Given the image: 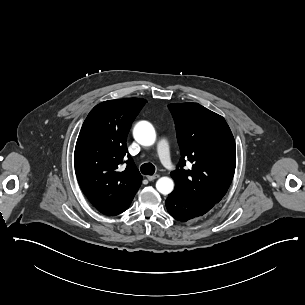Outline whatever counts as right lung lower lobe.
I'll return each mask as SVG.
<instances>
[{"mask_svg": "<svg viewBox=\"0 0 305 305\" xmlns=\"http://www.w3.org/2000/svg\"><path fill=\"white\" fill-rule=\"evenodd\" d=\"M131 201H129L128 203H126L121 208H119V209H117V210H115V211H113V212H111L110 214H107V215H117V214H120V213L124 212L130 206Z\"/></svg>", "mask_w": 305, "mask_h": 305, "instance_id": "right-lung-lower-lobe-1", "label": "right lung lower lobe"}]
</instances>
